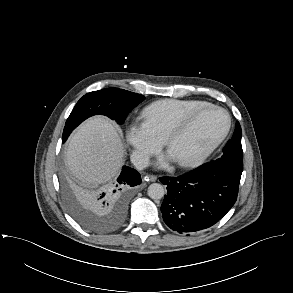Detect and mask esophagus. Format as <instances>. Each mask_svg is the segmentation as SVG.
<instances>
[{
    "instance_id": "1",
    "label": "esophagus",
    "mask_w": 293,
    "mask_h": 293,
    "mask_svg": "<svg viewBox=\"0 0 293 293\" xmlns=\"http://www.w3.org/2000/svg\"><path fill=\"white\" fill-rule=\"evenodd\" d=\"M144 180H149V181H152V182H154V181H156L157 180V176H155V175H146L145 177H144Z\"/></svg>"
}]
</instances>
